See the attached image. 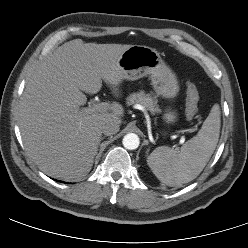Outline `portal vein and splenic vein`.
Wrapping results in <instances>:
<instances>
[{
  "label": "portal vein and splenic vein",
  "instance_id": "1",
  "mask_svg": "<svg viewBox=\"0 0 248 248\" xmlns=\"http://www.w3.org/2000/svg\"><path fill=\"white\" fill-rule=\"evenodd\" d=\"M111 108V105L106 102H97L95 103L92 108H89L92 112H107Z\"/></svg>",
  "mask_w": 248,
  "mask_h": 248
}]
</instances>
